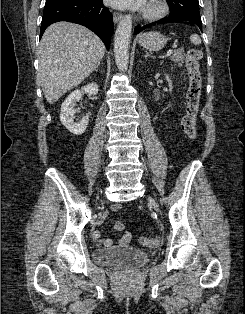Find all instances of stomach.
Instances as JSON below:
<instances>
[{
	"label": "stomach",
	"instance_id": "stomach-1",
	"mask_svg": "<svg viewBox=\"0 0 245 314\" xmlns=\"http://www.w3.org/2000/svg\"><path fill=\"white\" fill-rule=\"evenodd\" d=\"M167 42L166 37L159 32L150 31L143 33L138 38V43L145 49L150 51H158L162 49Z\"/></svg>",
	"mask_w": 245,
	"mask_h": 314
}]
</instances>
